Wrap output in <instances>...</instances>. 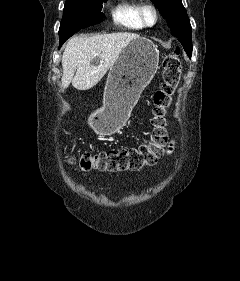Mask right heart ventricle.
Here are the masks:
<instances>
[{"instance_id": "1", "label": "right heart ventricle", "mask_w": 240, "mask_h": 281, "mask_svg": "<svg viewBox=\"0 0 240 281\" xmlns=\"http://www.w3.org/2000/svg\"><path fill=\"white\" fill-rule=\"evenodd\" d=\"M140 3L137 0H120L112 10L115 24L128 30H141L145 26L139 16Z\"/></svg>"}]
</instances>
